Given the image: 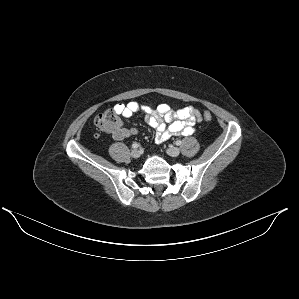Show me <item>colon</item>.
I'll list each match as a JSON object with an SVG mask.
<instances>
[{"instance_id":"5ec220e1","label":"colon","mask_w":299,"mask_h":299,"mask_svg":"<svg viewBox=\"0 0 299 299\" xmlns=\"http://www.w3.org/2000/svg\"><path fill=\"white\" fill-rule=\"evenodd\" d=\"M203 118L206 121H211L212 115L210 112L205 111ZM95 125L99 130L109 133H116L122 128L119 113L115 108H108L100 113L95 119Z\"/></svg>"}]
</instances>
